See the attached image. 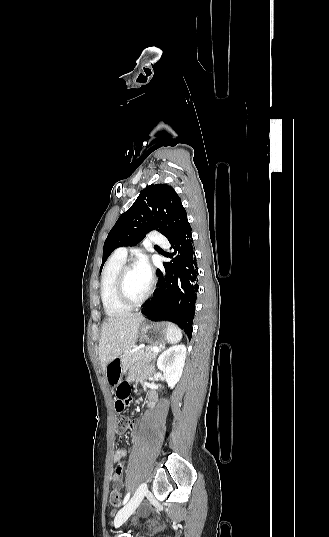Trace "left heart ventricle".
Returning <instances> with one entry per match:
<instances>
[{"label":"left heart ventricle","instance_id":"obj_1","mask_svg":"<svg viewBox=\"0 0 329 537\" xmlns=\"http://www.w3.org/2000/svg\"><path fill=\"white\" fill-rule=\"evenodd\" d=\"M149 284L141 277L136 267L131 269L125 278V291L129 299L138 300L147 291Z\"/></svg>","mask_w":329,"mask_h":537}]
</instances>
